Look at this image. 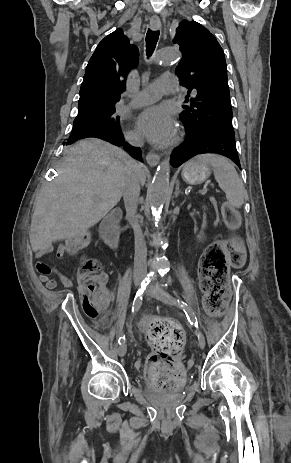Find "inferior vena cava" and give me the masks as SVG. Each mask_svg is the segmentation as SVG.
<instances>
[{
	"mask_svg": "<svg viewBox=\"0 0 291 463\" xmlns=\"http://www.w3.org/2000/svg\"><path fill=\"white\" fill-rule=\"evenodd\" d=\"M126 140L134 145L142 147L144 141L141 136L131 133L126 136ZM139 165L136 161L131 159L130 174L126 181L123 190V199L127 215L129 216L130 222L133 226L135 236V256L137 259H143L147 256V247L144 241L141 227L139 225V216L137 215V207L140 195V184H139ZM139 276L144 277L145 271L139 270Z\"/></svg>",
	"mask_w": 291,
	"mask_h": 463,
	"instance_id": "inferior-vena-cava-1",
	"label": "inferior vena cava"
}]
</instances>
